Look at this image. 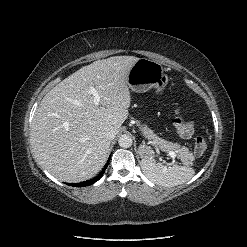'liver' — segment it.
I'll return each instance as SVG.
<instances>
[{"label":"liver","instance_id":"liver-1","mask_svg":"<svg viewBox=\"0 0 247 247\" xmlns=\"http://www.w3.org/2000/svg\"><path fill=\"white\" fill-rule=\"evenodd\" d=\"M139 58L114 56L97 60L71 74L50 90L36 109L31 145L38 163L64 182H81L103 168L110 140L128 117L131 95L128 74ZM101 99L93 101L90 88Z\"/></svg>","mask_w":247,"mask_h":247}]
</instances>
